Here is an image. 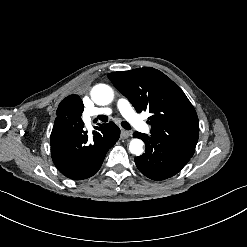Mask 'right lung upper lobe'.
Masks as SVG:
<instances>
[{"label": "right lung upper lobe", "instance_id": "1", "mask_svg": "<svg viewBox=\"0 0 247 247\" xmlns=\"http://www.w3.org/2000/svg\"><path fill=\"white\" fill-rule=\"evenodd\" d=\"M83 110L84 105L79 96L66 97L58 106L53 130L82 123L81 113Z\"/></svg>", "mask_w": 247, "mask_h": 247}]
</instances>
